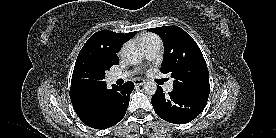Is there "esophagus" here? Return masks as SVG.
I'll use <instances>...</instances> for the list:
<instances>
[{
    "instance_id": "34e87169",
    "label": "esophagus",
    "mask_w": 276,
    "mask_h": 138,
    "mask_svg": "<svg viewBox=\"0 0 276 138\" xmlns=\"http://www.w3.org/2000/svg\"><path fill=\"white\" fill-rule=\"evenodd\" d=\"M145 83V80L143 79H135L134 84L135 85H143Z\"/></svg>"
}]
</instances>
